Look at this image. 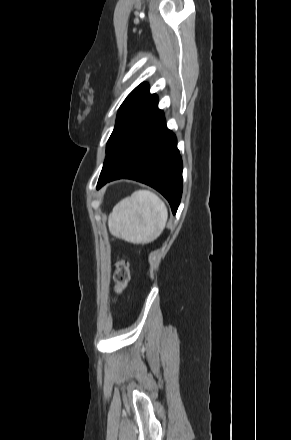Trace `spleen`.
Here are the masks:
<instances>
[{
  "label": "spleen",
  "instance_id": "3e777b00",
  "mask_svg": "<svg viewBox=\"0 0 291 440\" xmlns=\"http://www.w3.org/2000/svg\"><path fill=\"white\" fill-rule=\"evenodd\" d=\"M168 219L165 203L153 192L137 190L117 203L108 218L110 233L133 244L156 240Z\"/></svg>",
  "mask_w": 291,
  "mask_h": 440
}]
</instances>
